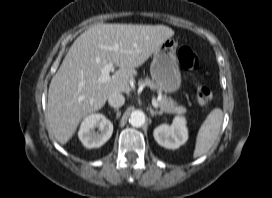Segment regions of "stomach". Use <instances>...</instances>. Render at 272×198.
<instances>
[{
    "mask_svg": "<svg viewBox=\"0 0 272 198\" xmlns=\"http://www.w3.org/2000/svg\"><path fill=\"white\" fill-rule=\"evenodd\" d=\"M177 46V42L169 38L153 53L150 74L154 83L166 93L177 91L181 85Z\"/></svg>",
    "mask_w": 272,
    "mask_h": 198,
    "instance_id": "obj_1",
    "label": "stomach"
}]
</instances>
